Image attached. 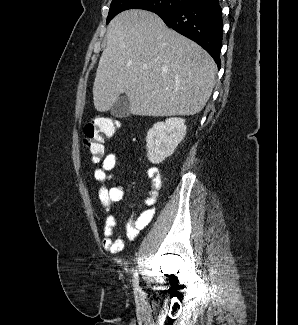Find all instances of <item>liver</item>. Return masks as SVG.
Returning <instances> with one entry per match:
<instances>
[{
  "mask_svg": "<svg viewBox=\"0 0 298 325\" xmlns=\"http://www.w3.org/2000/svg\"><path fill=\"white\" fill-rule=\"evenodd\" d=\"M93 84L96 110L125 92L132 114H197L215 86L217 66L199 44L141 8L123 10L107 26Z\"/></svg>",
  "mask_w": 298,
  "mask_h": 325,
  "instance_id": "liver-1",
  "label": "liver"
}]
</instances>
